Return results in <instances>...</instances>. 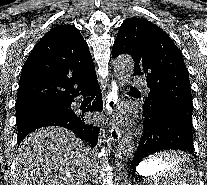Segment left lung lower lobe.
Masks as SVG:
<instances>
[{"instance_id":"left-lung-lower-lobe-1","label":"left lung lower lobe","mask_w":207,"mask_h":185,"mask_svg":"<svg viewBox=\"0 0 207 185\" xmlns=\"http://www.w3.org/2000/svg\"><path fill=\"white\" fill-rule=\"evenodd\" d=\"M144 133L140 138L131 168L146 156L165 150H181L194 153L192 126L176 113L167 109L145 110Z\"/></svg>"}]
</instances>
